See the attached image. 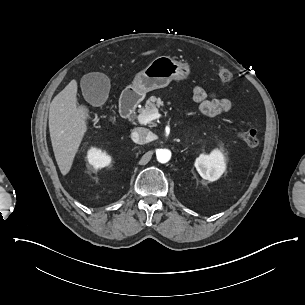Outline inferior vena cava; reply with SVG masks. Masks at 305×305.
Wrapping results in <instances>:
<instances>
[{
  "label": "inferior vena cava",
  "mask_w": 305,
  "mask_h": 305,
  "mask_svg": "<svg viewBox=\"0 0 305 305\" xmlns=\"http://www.w3.org/2000/svg\"><path fill=\"white\" fill-rule=\"evenodd\" d=\"M151 132L146 128H136L131 133V139L136 144H145L149 142Z\"/></svg>",
  "instance_id": "1"
}]
</instances>
